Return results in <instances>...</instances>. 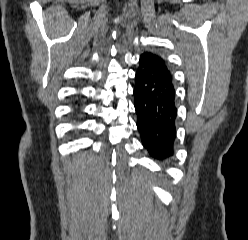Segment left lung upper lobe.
I'll use <instances>...</instances> for the list:
<instances>
[{
    "label": "left lung upper lobe",
    "mask_w": 248,
    "mask_h": 240,
    "mask_svg": "<svg viewBox=\"0 0 248 240\" xmlns=\"http://www.w3.org/2000/svg\"><path fill=\"white\" fill-rule=\"evenodd\" d=\"M145 54L148 55L153 60H155L164 69V71L171 74L170 70L166 66L165 60H163L162 57H160L159 55L154 54V53H145Z\"/></svg>",
    "instance_id": "5c2ea615"
}]
</instances>
